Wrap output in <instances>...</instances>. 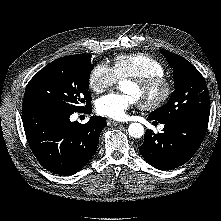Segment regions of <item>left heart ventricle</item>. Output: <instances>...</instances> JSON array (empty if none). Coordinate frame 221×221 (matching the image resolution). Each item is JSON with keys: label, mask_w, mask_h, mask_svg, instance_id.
Returning <instances> with one entry per match:
<instances>
[{"label": "left heart ventricle", "mask_w": 221, "mask_h": 221, "mask_svg": "<svg viewBox=\"0 0 221 221\" xmlns=\"http://www.w3.org/2000/svg\"><path fill=\"white\" fill-rule=\"evenodd\" d=\"M124 91L128 95L133 96L136 100L138 99L153 100L161 94L162 89L160 87H156L144 92L141 91L134 82H130L126 85Z\"/></svg>", "instance_id": "1"}]
</instances>
